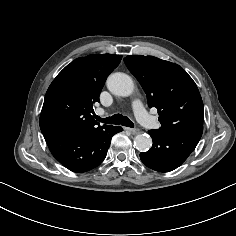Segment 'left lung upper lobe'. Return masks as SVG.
Returning <instances> with one entry per match:
<instances>
[{"label": "left lung upper lobe", "mask_w": 236, "mask_h": 236, "mask_svg": "<svg viewBox=\"0 0 236 236\" xmlns=\"http://www.w3.org/2000/svg\"><path fill=\"white\" fill-rule=\"evenodd\" d=\"M124 62L159 113L161 132H203L204 107L199 90L179 65L153 56L129 55Z\"/></svg>", "instance_id": "1"}]
</instances>
